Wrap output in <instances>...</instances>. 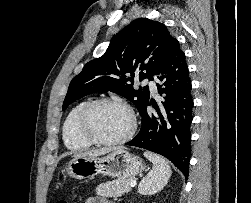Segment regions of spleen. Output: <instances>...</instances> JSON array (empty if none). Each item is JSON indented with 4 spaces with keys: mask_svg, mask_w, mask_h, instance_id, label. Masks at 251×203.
<instances>
[{
    "mask_svg": "<svg viewBox=\"0 0 251 203\" xmlns=\"http://www.w3.org/2000/svg\"><path fill=\"white\" fill-rule=\"evenodd\" d=\"M144 156L152 162L153 167L139 183L138 192L143 195H153L166 186L171 176V168L168 162L158 154L146 151Z\"/></svg>",
    "mask_w": 251,
    "mask_h": 203,
    "instance_id": "obj_1",
    "label": "spleen"
}]
</instances>
